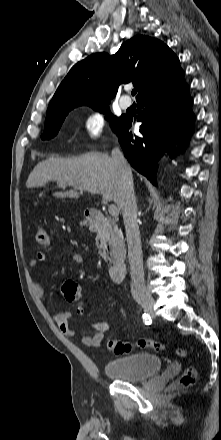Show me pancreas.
Segmentation results:
<instances>
[{"mask_svg":"<svg viewBox=\"0 0 221 440\" xmlns=\"http://www.w3.org/2000/svg\"><path fill=\"white\" fill-rule=\"evenodd\" d=\"M113 238V245H112V251L117 255L118 260H122L125 256V246L123 242V236L121 231L118 229L117 225L112 222L108 221L107 224V231L100 230L97 233V240L100 241V249H103L106 245V241L109 239V237Z\"/></svg>","mask_w":221,"mask_h":440,"instance_id":"cf45deb5","label":"pancreas"}]
</instances>
